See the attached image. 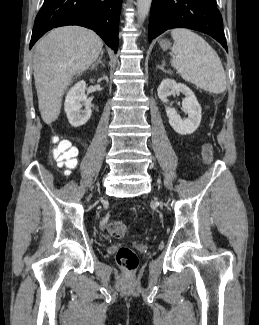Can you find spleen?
Masks as SVG:
<instances>
[{"label":"spleen","mask_w":259,"mask_h":325,"mask_svg":"<svg viewBox=\"0 0 259 325\" xmlns=\"http://www.w3.org/2000/svg\"><path fill=\"white\" fill-rule=\"evenodd\" d=\"M171 36L174 40L171 65L181 77L210 93L224 92L226 75L216 51L189 29H173Z\"/></svg>","instance_id":"3e777b00"}]
</instances>
